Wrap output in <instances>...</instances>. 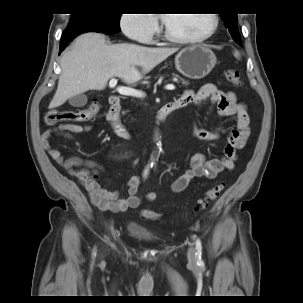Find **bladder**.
Listing matches in <instances>:
<instances>
[{
    "mask_svg": "<svg viewBox=\"0 0 303 303\" xmlns=\"http://www.w3.org/2000/svg\"><path fill=\"white\" fill-rule=\"evenodd\" d=\"M128 231L131 236L140 238L145 241H155V236L143 225L139 223H130L128 226Z\"/></svg>",
    "mask_w": 303,
    "mask_h": 303,
    "instance_id": "bladder-1",
    "label": "bladder"
}]
</instances>
